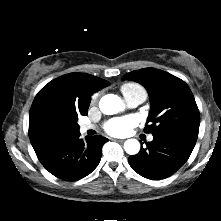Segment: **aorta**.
<instances>
[{"label":"aorta","mask_w":221,"mask_h":221,"mask_svg":"<svg viewBox=\"0 0 221 221\" xmlns=\"http://www.w3.org/2000/svg\"><path fill=\"white\" fill-rule=\"evenodd\" d=\"M99 108L106 115L118 113L123 108V103L120 97L114 94L103 96L99 102ZM124 149L129 155H135L140 150V143L136 139H128L124 143Z\"/></svg>","instance_id":"aorta-1"}]
</instances>
